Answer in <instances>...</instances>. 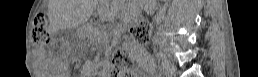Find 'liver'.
<instances>
[{
    "label": "liver",
    "mask_w": 258,
    "mask_h": 77,
    "mask_svg": "<svg viewBox=\"0 0 258 77\" xmlns=\"http://www.w3.org/2000/svg\"><path fill=\"white\" fill-rule=\"evenodd\" d=\"M62 20L65 24L71 26L76 24V2L67 0L62 13Z\"/></svg>",
    "instance_id": "liver-1"
}]
</instances>
